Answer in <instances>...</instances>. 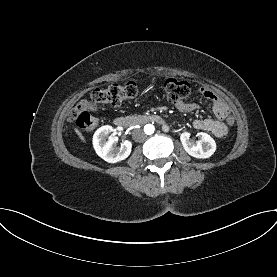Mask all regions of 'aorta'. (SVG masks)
<instances>
[{
	"mask_svg": "<svg viewBox=\"0 0 277 277\" xmlns=\"http://www.w3.org/2000/svg\"><path fill=\"white\" fill-rule=\"evenodd\" d=\"M155 131V127L152 124H146L144 126V133L147 135H152Z\"/></svg>",
	"mask_w": 277,
	"mask_h": 277,
	"instance_id": "762f6f07",
	"label": "aorta"
}]
</instances>
